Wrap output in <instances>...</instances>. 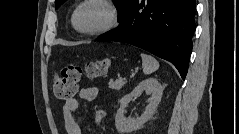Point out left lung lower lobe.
I'll list each match as a JSON object with an SVG mask.
<instances>
[{
	"mask_svg": "<svg viewBox=\"0 0 239 134\" xmlns=\"http://www.w3.org/2000/svg\"><path fill=\"white\" fill-rule=\"evenodd\" d=\"M195 0H134L119 26L96 41L129 43L170 61L185 79L195 30Z\"/></svg>",
	"mask_w": 239,
	"mask_h": 134,
	"instance_id": "left-lung-lower-lobe-1",
	"label": "left lung lower lobe"
}]
</instances>
